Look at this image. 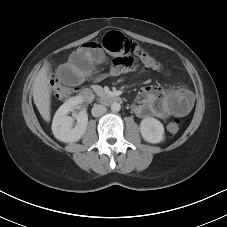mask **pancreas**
<instances>
[{
	"mask_svg": "<svg viewBox=\"0 0 227 227\" xmlns=\"http://www.w3.org/2000/svg\"><path fill=\"white\" fill-rule=\"evenodd\" d=\"M96 93L98 95H102L103 94V90L101 88H98V89H96Z\"/></svg>",
	"mask_w": 227,
	"mask_h": 227,
	"instance_id": "pancreas-1",
	"label": "pancreas"
}]
</instances>
